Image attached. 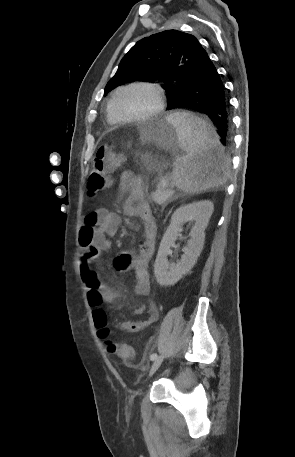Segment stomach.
<instances>
[{
	"label": "stomach",
	"mask_w": 295,
	"mask_h": 457,
	"mask_svg": "<svg viewBox=\"0 0 295 457\" xmlns=\"http://www.w3.org/2000/svg\"><path fill=\"white\" fill-rule=\"evenodd\" d=\"M142 142L145 144L155 145L164 149H175L179 146L176 127L166 118L153 120L148 125L142 128ZM149 169L158 167L155 163H151L148 158L145 161Z\"/></svg>",
	"instance_id": "0dacf381"
}]
</instances>
